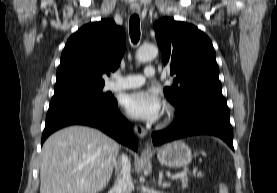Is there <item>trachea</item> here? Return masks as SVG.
<instances>
[{
  "instance_id": "1",
  "label": "trachea",
  "mask_w": 277,
  "mask_h": 193,
  "mask_svg": "<svg viewBox=\"0 0 277 193\" xmlns=\"http://www.w3.org/2000/svg\"><path fill=\"white\" fill-rule=\"evenodd\" d=\"M129 33L131 40L136 44L140 39V20L137 15H132L129 21Z\"/></svg>"
}]
</instances>
